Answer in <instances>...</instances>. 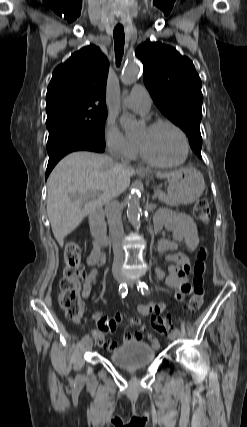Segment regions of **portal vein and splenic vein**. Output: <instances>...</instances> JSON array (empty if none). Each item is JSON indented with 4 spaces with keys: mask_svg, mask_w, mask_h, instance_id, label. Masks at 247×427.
Segmentation results:
<instances>
[{
    "mask_svg": "<svg viewBox=\"0 0 247 427\" xmlns=\"http://www.w3.org/2000/svg\"><path fill=\"white\" fill-rule=\"evenodd\" d=\"M157 197L156 193L152 196V199H155Z\"/></svg>",
    "mask_w": 247,
    "mask_h": 427,
    "instance_id": "18ae733b",
    "label": "portal vein and splenic vein"
}]
</instances>
